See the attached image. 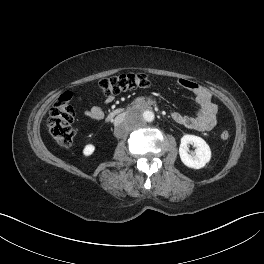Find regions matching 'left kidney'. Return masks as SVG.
<instances>
[{
    "label": "left kidney",
    "instance_id": "5707ae66",
    "mask_svg": "<svg viewBox=\"0 0 264 264\" xmlns=\"http://www.w3.org/2000/svg\"><path fill=\"white\" fill-rule=\"evenodd\" d=\"M189 144L196 147L195 154H189ZM181 161L190 168L200 169L211 159V150L204 139L195 135H184L179 147Z\"/></svg>",
    "mask_w": 264,
    "mask_h": 264
}]
</instances>
